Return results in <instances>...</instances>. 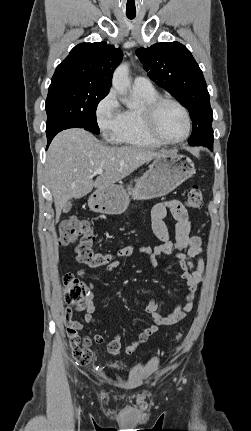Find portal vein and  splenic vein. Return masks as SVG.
Segmentation results:
<instances>
[{
  "mask_svg": "<svg viewBox=\"0 0 251 431\" xmlns=\"http://www.w3.org/2000/svg\"><path fill=\"white\" fill-rule=\"evenodd\" d=\"M102 173H103V169H101V168L96 169L95 171H93V174H94V175L102 174Z\"/></svg>",
  "mask_w": 251,
  "mask_h": 431,
  "instance_id": "obj_1",
  "label": "portal vein and splenic vein"
}]
</instances>
